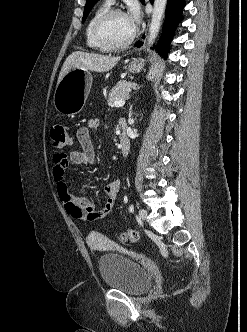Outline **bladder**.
<instances>
[{"label":"bladder","mask_w":247,"mask_h":332,"mask_svg":"<svg viewBox=\"0 0 247 332\" xmlns=\"http://www.w3.org/2000/svg\"><path fill=\"white\" fill-rule=\"evenodd\" d=\"M94 238H90L92 242ZM98 268L103 283L128 295H140L152 284V277L147 267L119 253H106L100 256Z\"/></svg>","instance_id":"obj_1"}]
</instances>
